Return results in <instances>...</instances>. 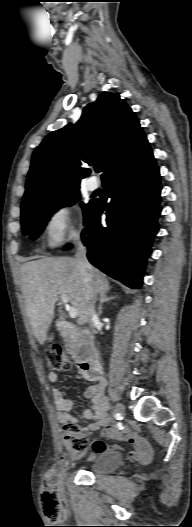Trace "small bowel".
<instances>
[{
    "mask_svg": "<svg viewBox=\"0 0 192 527\" xmlns=\"http://www.w3.org/2000/svg\"><path fill=\"white\" fill-rule=\"evenodd\" d=\"M84 377L79 374L77 378ZM48 379L51 383L57 382V375L55 372H50ZM84 395L90 399L93 404V409H86L83 411V416L86 419L92 420L87 427L89 432H94L102 427H106L104 434L106 436L115 438L119 441L128 442L132 446L130 452L131 456L139 461H147L152 454L149 443L143 438L134 434L129 428L124 427L122 431H119L116 426H110V415L108 413V402L104 393V381H96L95 384L89 386ZM53 400L57 410L56 419L59 423L65 425L68 422H76V418L69 412L74 406L72 399L64 397L63 393L59 389L53 390ZM116 446H110L103 441H95L92 444L93 453L106 451ZM146 466V463H143Z\"/></svg>",
    "mask_w": 192,
    "mask_h": 527,
    "instance_id": "1",
    "label": "small bowel"
}]
</instances>
